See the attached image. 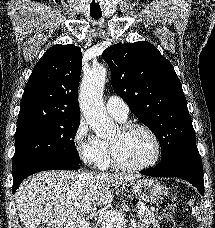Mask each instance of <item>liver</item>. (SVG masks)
<instances>
[{"label":"liver","instance_id":"liver-1","mask_svg":"<svg viewBox=\"0 0 215 228\" xmlns=\"http://www.w3.org/2000/svg\"><path fill=\"white\" fill-rule=\"evenodd\" d=\"M133 174H77L49 170L29 176L20 184L15 196L23 228H91L84 206H110L113 192Z\"/></svg>","mask_w":215,"mask_h":228}]
</instances>
